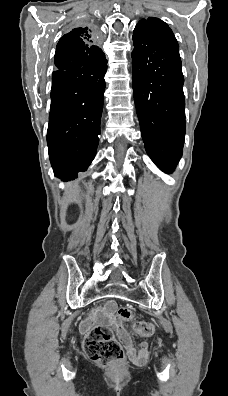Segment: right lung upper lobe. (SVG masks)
Segmentation results:
<instances>
[{"label":"right lung upper lobe","instance_id":"cb5924a9","mask_svg":"<svg viewBox=\"0 0 228 396\" xmlns=\"http://www.w3.org/2000/svg\"><path fill=\"white\" fill-rule=\"evenodd\" d=\"M94 39L95 32L91 28H75L71 32L65 34L59 40L56 50L67 46H71L80 50H85L90 46H95L92 45Z\"/></svg>","mask_w":228,"mask_h":396}]
</instances>
